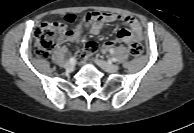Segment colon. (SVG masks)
<instances>
[{"label": "colon", "mask_w": 194, "mask_h": 133, "mask_svg": "<svg viewBox=\"0 0 194 133\" xmlns=\"http://www.w3.org/2000/svg\"><path fill=\"white\" fill-rule=\"evenodd\" d=\"M75 21L74 15H66L61 21L46 22L41 24L35 33L34 50L39 58H47L58 41L66 34L67 26ZM94 42H88L84 49L79 52L78 60L84 62L94 51ZM142 52V45L138 42L130 44V53L138 57Z\"/></svg>", "instance_id": "5ec220e1"}]
</instances>
